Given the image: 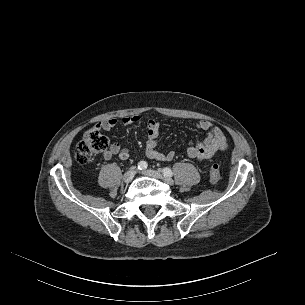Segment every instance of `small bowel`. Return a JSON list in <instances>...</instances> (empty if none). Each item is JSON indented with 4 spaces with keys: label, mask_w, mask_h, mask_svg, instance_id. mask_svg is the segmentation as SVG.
Masks as SVG:
<instances>
[{
    "label": "small bowel",
    "mask_w": 305,
    "mask_h": 305,
    "mask_svg": "<svg viewBox=\"0 0 305 305\" xmlns=\"http://www.w3.org/2000/svg\"><path fill=\"white\" fill-rule=\"evenodd\" d=\"M141 118L137 115L126 116L122 119L124 125L139 123ZM118 121L115 118H109L105 121L96 124L97 129L111 130L117 125ZM196 127L206 131L207 136L204 140H195L189 143L187 148L188 157L197 161H206L213 157L219 151L225 150L227 147V139L224 132L212 122L208 120H200L196 123ZM160 134V124L154 119L147 121V142L145 154L149 159L170 161L175 157L174 151L161 152L157 149L158 138ZM130 152L122 147L119 143L114 142L103 153L105 160H110L113 156H117L121 160H127Z\"/></svg>",
    "instance_id": "obj_1"
}]
</instances>
